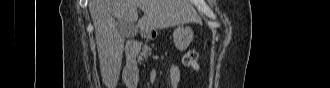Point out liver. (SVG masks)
Listing matches in <instances>:
<instances>
[{"instance_id":"obj_1","label":"liver","mask_w":330,"mask_h":88,"mask_svg":"<svg viewBox=\"0 0 330 88\" xmlns=\"http://www.w3.org/2000/svg\"><path fill=\"white\" fill-rule=\"evenodd\" d=\"M137 8L144 15L138 20ZM89 11L95 28L101 76L107 88H115L119 79L125 36L117 20L134 23L145 35L155 29L199 22L200 17L189 0H90ZM115 19H117L115 21Z\"/></svg>"}]
</instances>
